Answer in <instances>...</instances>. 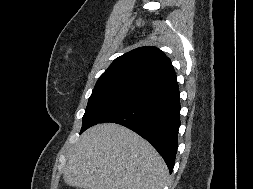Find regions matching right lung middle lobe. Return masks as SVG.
<instances>
[{
  "label": "right lung middle lobe",
  "instance_id": "1",
  "mask_svg": "<svg viewBox=\"0 0 253 189\" xmlns=\"http://www.w3.org/2000/svg\"><path fill=\"white\" fill-rule=\"evenodd\" d=\"M147 93L142 89L125 86L93 89L82 119L81 133L103 117L137 101Z\"/></svg>",
  "mask_w": 253,
  "mask_h": 189
}]
</instances>
